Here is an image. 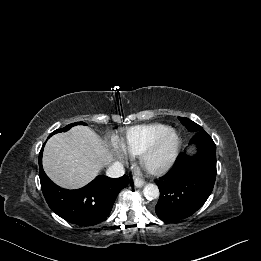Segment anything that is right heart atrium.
Segmentation results:
<instances>
[{"mask_svg":"<svg viewBox=\"0 0 261 261\" xmlns=\"http://www.w3.org/2000/svg\"><path fill=\"white\" fill-rule=\"evenodd\" d=\"M115 154L120 158L124 159L125 158V153L124 151L117 145L115 146Z\"/></svg>","mask_w":261,"mask_h":261,"instance_id":"1","label":"right heart atrium"}]
</instances>
